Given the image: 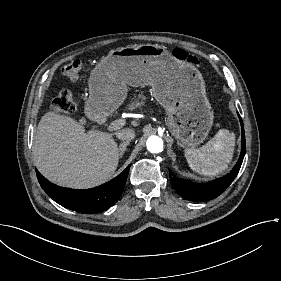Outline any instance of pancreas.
I'll return each mask as SVG.
<instances>
[{
	"label": "pancreas",
	"mask_w": 281,
	"mask_h": 281,
	"mask_svg": "<svg viewBox=\"0 0 281 281\" xmlns=\"http://www.w3.org/2000/svg\"><path fill=\"white\" fill-rule=\"evenodd\" d=\"M146 96L142 93L138 94L134 98H132L131 104H129L128 109L134 110L137 107H141L145 104Z\"/></svg>",
	"instance_id": "pancreas-1"
}]
</instances>
